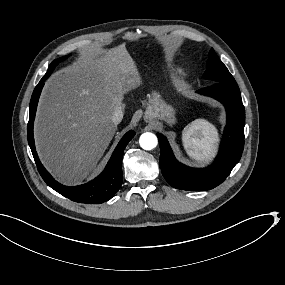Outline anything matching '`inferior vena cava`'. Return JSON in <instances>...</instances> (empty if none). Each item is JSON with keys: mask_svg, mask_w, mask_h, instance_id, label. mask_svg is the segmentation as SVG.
I'll return each mask as SVG.
<instances>
[{"mask_svg": "<svg viewBox=\"0 0 285 285\" xmlns=\"http://www.w3.org/2000/svg\"><path fill=\"white\" fill-rule=\"evenodd\" d=\"M122 117H123V111L121 108H119L114 112L112 116L113 123L117 125L122 120Z\"/></svg>", "mask_w": 285, "mask_h": 285, "instance_id": "1", "label": "inferior vena cava"}]
</instances>
